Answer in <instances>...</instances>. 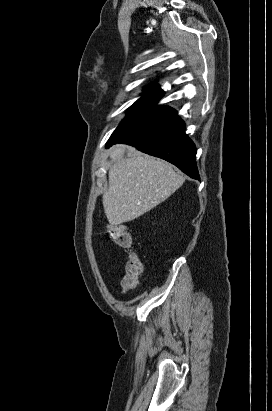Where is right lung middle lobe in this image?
Returning a JSON list of instances; mask_svg holds the SVG:
<instances>
[{
    "label": "right lung middle lobe",
    "instance_id": "1",
    "mask_svg": "<svg viewBox=\"0 0 272 411\" xmlns=\"http://www.w3.org/2000/svg\"><path fill=\"white\" fill-rule=\"evenodd\" d=\"M158 98L143 95L129 109L111 138L120 139L155 124L176 112L169 106H156Z\"/></svg>",
    "mask_w": 272,
    "mask_h": 411
}]
</instances>
